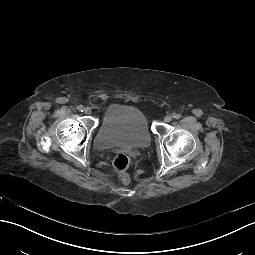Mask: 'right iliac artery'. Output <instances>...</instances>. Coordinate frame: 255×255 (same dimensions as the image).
Masks as SVG:
<instances>
[{
    "mask_svg": "<svg viewBox=\"0 0 255 255\" xmlns=\"http://www.w3.org/2000/svg\"><path fill=\"white\" fill-rule=\"evenodd\" d=\"M79 111L83 112L84 111V106L83 105H79L77 108Z\"/></svg>",
    "mask_w": 255,
    "mask_h": 255,
    "instance_id": "obj_1",
    "label": "right iliac artery"
}]
</instances>
